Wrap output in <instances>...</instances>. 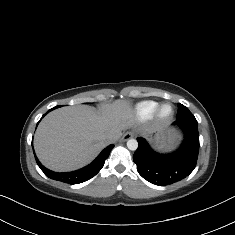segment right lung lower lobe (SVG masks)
Returning a JSON list of instances; mask_svg holds the SVG:
<instances>
[{
    "label": "right lung lower lobe",
    "mask_w": 235,
    "mask_h": 235,
    "mask_svg": "<svg viewBox=\"0 0 235 235\" xmlns=\"http://www.w3.org/2000/svg\"><path fill=\"white\" fill-rule=\"evenodd\" d=\"M54 108L50 109L48 112L53 110ZM47 112V113H48ZM46 113V114H47ZM44 114L43 117L46 115ZM114 145L111 144L108 147H106L100 154L99 156L89 165L86 167L79 169L77 171L73 172H67V173H58V172H53L47 168H45L37 159L35 156L36 162L40 169L44 172L46 176H48L51 179L61 181L64 183L68 184H78L85 182L89 179H91L93 176H95L103 167L105 160L108 158L111 150L113 149Z\"/></svg>",
    "instance_id": "right-lung-lower-lobe-1"
}]
</instances>
